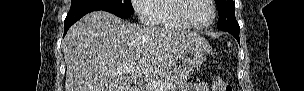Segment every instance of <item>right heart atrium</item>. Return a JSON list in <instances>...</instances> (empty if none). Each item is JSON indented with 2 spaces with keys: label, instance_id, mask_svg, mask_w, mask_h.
<instances>
[{
  "label": "right heart atrium",
  "instance_id": "d8ad5b80",
  "mask_svg": "<svg viewBox=\"0 0 304 91\" xmlns=\"http://www.w3.org/2000/svg\"><path fill=\"white\" fill-rule=\"evenodd\" d=\"M153 0H134L133 6L134 10L138 15V18L142 22L151 21V13L149 6L152 4Z\"/></svg>",
  "mask_w": 304,
  "mask_h": 91
}]
</instances>
